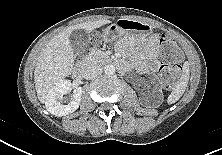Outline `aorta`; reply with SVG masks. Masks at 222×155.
<instances>
[{"mask_svg":"<svg viewBox=\"0 0 222 155\" xmlns=\"http://www.w3.org/2000/svg\"><path fill=\"white\" fill-rule=\"evenodd\" d=\"M104 71L107 75H113L115 73V67L113 65L108 64L104 67Z\"/></svg>","mask_w":222,"mask_h":155,"instance_id":"762f6f07","label":"aorta"}]
</instances>
